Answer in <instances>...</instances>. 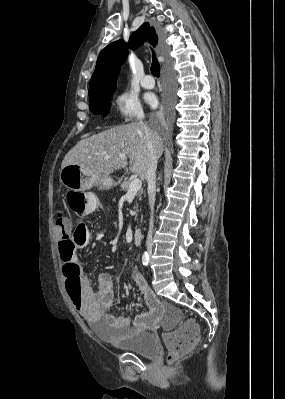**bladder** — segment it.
<instances>
[{"mask_svg": "<svg viewBox=\"0 0 285 399\" xmlns=\"http://www.w3.org/2000/svg\"><path fill=\"white\" fill-rule=\"evenodd\" d=\"M94 331L98 335H103L101 323L92 322ZM107 339L115 343L120 349L127 352L136 353L143 357L153 358L159 353V345L155 336L150 332H135L126 337L108 336Z\"/></svg>", "mask_w": 285, "mask_h": 399, "instance_id": "bladder-1", "label": "bladder"}]
</instances>
